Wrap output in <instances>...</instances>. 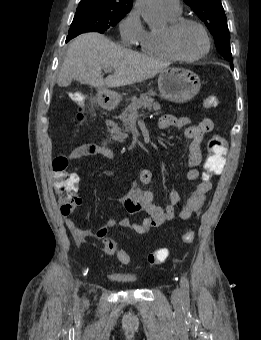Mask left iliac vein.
I'll return each instance as SVG.
<instances>
[{
    "label": "left iliac vein",
    "instance_id": "4c4485c4",
    "mask_svg": "<svg viewBox=\"0 0 261 340\" xmlns=\"http://www.w3.org/2000/svg\"><path fill=\"white\" fill-rule=\"evenodd\" d=\"M171 299L174 303H179L181 299V291L179 288L173 290Z\"/></svg>",
    "mask_w": 261,
    "mask_h": 340
}]
</instances>
